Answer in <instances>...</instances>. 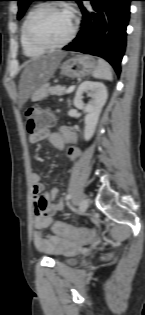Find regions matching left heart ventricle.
Here are the masks:
<instances>
[{
    "instance_id": "1",
    "label": "left heart ventricle",
    "mask_w": 145,
    "mask_h": 315,
    "mask_svg": "<svg viewBox=\"0 0 145 315\" xmlns=\"http://www.w3.org/2000/svg\"><path fill=\"white\" fill-rule=\"evenodd\" d=\"M72 17L60 10H51L42 14L33 26L34 37L44 43H57L70 32Z\"/></svg>"
}]
</instances>
